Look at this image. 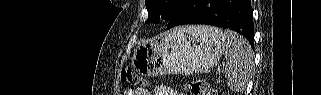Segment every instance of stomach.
<instances>
[{"label": "stomach", "mask_w": 321, "mask_h": 95, "mask_svg": "<svg viewBox=\"0 0 321 95\" xmlns=\"http://www.w3.org/2000/svg\"><path fill=\"white\" fill-rule=\"evenodd\" d=\"M224 51V41L190 27L176 28L134 50L132 66L143 76L208 72Z\"/></svg>", "instance_id": "obj_1"}]
</instances>
